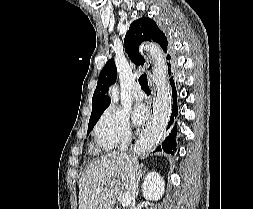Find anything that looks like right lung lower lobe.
Instances as JSON below:
<instances>
[{"instance_id": "98d812e1", "label": "right lung lower lobe", "mask_w": 253, "mask_h": 209, "mask_svg": "<svg viewBox=\"0 0 253 209\" xmlns=\"http://www.w3.org/2000/svg\"><path fill=\"white\" fill-rule=\"evenodd\" d=\"M170 73L171 71H169V75ZM170 84L172 86V98H173L172 112L165 126V129L162 133L160 139L161 143L157 146L156 151L164 150L166 153L174 154V151H176V136H177L176 117L178 115V106H177L176 88L172 77L170 78Z\"/></svg>"}]
</instances>
